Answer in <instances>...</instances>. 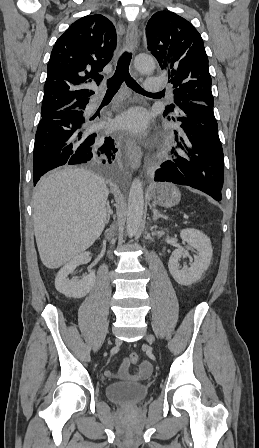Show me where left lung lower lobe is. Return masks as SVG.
Instances as JSON below:
<instances>
[{
  "instance_id": "1",
  "label": "left lung lower lobe",
  "mask_w": 259,
  "mask_h": 448,
  "mask_svg": "<svg viewBox=\"0 0 259 448\" xmlns=\"http://www.w3.org/2000/svg\"><path fill=\"white\" fill-rule=\"evenodd\" d=\"M163 115L178 121L182 133L174 131L177 146L171 160L155 171L154 180L191 186L220 201L224 155L213 106L190 103L174 115Z\"/></svg>"
}]
</instances>
